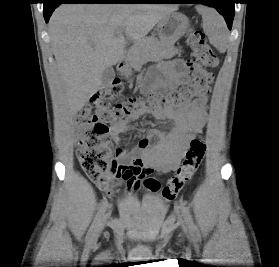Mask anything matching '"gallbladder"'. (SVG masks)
I'll return each mask as SVG.
<instances>
[{"instance_id":"bac80fb5","label":"gallbladder","mask_w":279,"mask_h":267,"mask_svg":"<svg viewBox=\"0 0 279 267\" xmlns=\"http://www.w3.org/2000/svg\"><path fill=\"white\" fill-rule=\"evenodd\" d=\"M115 78V71L112 66L106 67L102 73V86L110 87Z\"/></svg>"}]
</instances>
